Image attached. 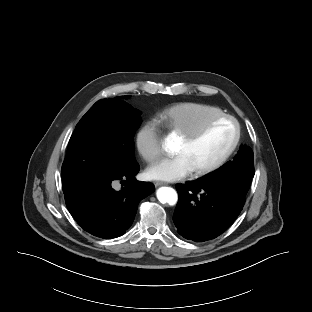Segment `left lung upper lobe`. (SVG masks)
Returning a JSON list of instances; mask_svg holds the SVG:
<instances>
[{
	"instance_id": "1",
	"label": "left lung upper lobe",
	"mask_w": 312,
	"mask_h": 312,
	"mask_svg": "<svg viewBox=\"0 0 312 312\" xmlns=\"http://www.w3.org/2000/svg\"><path fill=\"white\" fill-rule=\"evenodd\" d=\"M253 177V151L250 147L244 145L240 147L233 161H229L207 178L226 180L243 191L244 194H247Z\"/></svg>"
}]
</instances>
